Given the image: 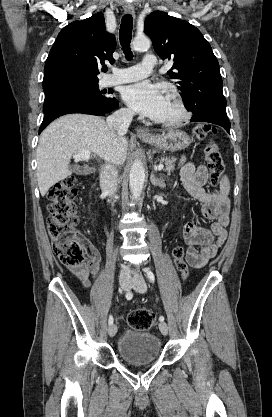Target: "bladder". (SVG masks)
Here are the masks:
<instances>
[{"label":"bladder","mask_w":272,"mask_h":417,"mask_svg":"<svg viewBox=\"0 0 272 417\" xmlns=\"http://www.w3.org/2000/svg\"><path fill=\"white\" fill-rule=\"evenodd\" d=\"M162 344L153 333L126 330L119 338V356L130 364H147L158 359Z\"/></svg>","instance_id":"1"}]
</instances>
